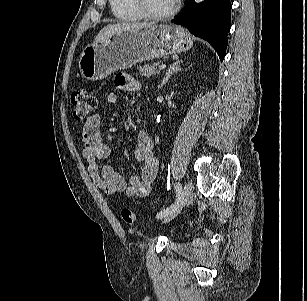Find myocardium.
<instances>
[{"label":"myocardium","instance_id":"obj_1","mask_svg":"<svg viewBox=\"0 0 307 301\" xmlns=\"http://www.w3.org/2000/svg\"><path fill=\"white\" fill-rule=\"evenodd\" d=\"M141 15L149 20H165L172 17L179 9L180 0H175L173 6L164 13H153L147 6L146 0H133Z\"/></svg>","mask_w":307,"mask_h":301}]
</instances>
